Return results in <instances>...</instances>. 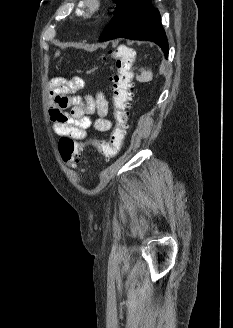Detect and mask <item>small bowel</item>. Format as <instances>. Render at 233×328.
Returning a JSON list of instances; mask_svg holds the SVG:
<instances>
[{"label": "small bowel", "mask_w": 233, "mask_h": 328, "mask_svg": "<svg viewBox=\"0 0 233 328\" xmlns=\"http://www.w3.org/2000/svg\"><path fill=\"white\" fill-rule=\"evenodd\" d=\"M84 84L79 76L70 79L56 77L50 81L49 116L54 132L81 142L86 141L87 129L90 127L99 132H107L112 127V122L107 118L108 101L102 92L95 96L87 95L83 99L75 95ZM67 108H70L69 112L65 111ZM94 114L97 116L92 119Z\"/></svg>", "instance_id": "obj_1"}]
</instances>
